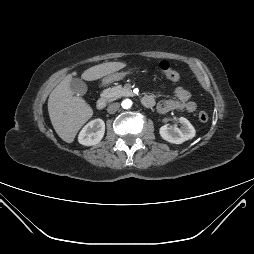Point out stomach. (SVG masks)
I'll return each mask as SVG.
<instances>
[{
	"instance_id": "0dacf381",
	"label": "stomach",
	"mask_w": 254,
	"mask_h": 254,
	"mask_svg": "<svg viewBox=\"0 0 254 254\" xmlns=\"http://www.w3.org/2000/svg\"><path fill=\"white\" fill-rule=\"evenodd\" d=\"M131 73H132V71H131V70H128V71H121V72H117V73L108 75L107 77H105V78L103 79V83H104V84H108V83H111V82H114V81L121 80V79H123L126 75H129V74H131Z\"/></svg>"
}]
</instances>
